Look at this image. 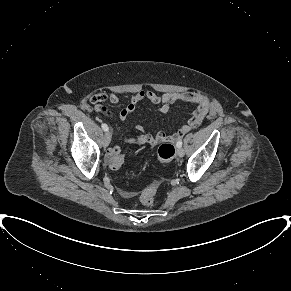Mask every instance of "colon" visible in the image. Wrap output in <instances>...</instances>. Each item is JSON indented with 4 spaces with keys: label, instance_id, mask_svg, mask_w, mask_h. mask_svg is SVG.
<instances>
[{
    "label": "colon",
    "instance_id": "obj_1",
    "mask_svg": "<svg viewBox=\"0 0 291 291\" xmlns=\"http://www.w3.org/2000/svg\"><path fill=\"white\" fill-rule=\"evenodd\" d=\"M175 155V147L171 142H164L160 145L158 149V158L160 162H169ZM125 160V155L120 151H113L109 154V167L111 169H119ZM158 186L152 184L147 187L140 196V201L144 206H151L154 202V198L157 194Z\"/></svg>",
    "mask_w": 291,
    "mask_h": 291
}]
</instances>
